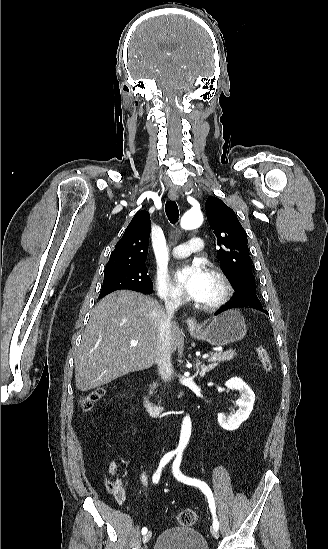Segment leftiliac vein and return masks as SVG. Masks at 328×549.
<instances>
[{
	"instance_id": "1",
	"label": "left iliac vein",
	"mask_w": 328,
	"mask_h": 549,
	"mask_svg": "<svg viewBox=\"0 0 328 549\" xmlns=\"http://www.w3.org/2000/svg\"><path fill=\"white\" fill-rule=\"evenodd\" d=\"M211 533H212V536H213L214 538H218L219 533H218L217 530H215V529L213 528L212 531H211Z\"/></svg>"
}]
</instances>
